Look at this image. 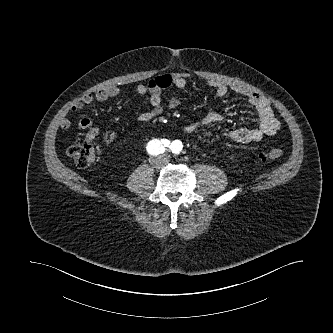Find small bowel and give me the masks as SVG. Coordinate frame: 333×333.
Segmentation results:
<instances>
[{"instance_id": "obj_1", "label": "small bowel", "mask_w": 333, "mask_h": 333, "mask_svg": "<svg viewBox=\"0 0 333 333\" xmlns=\"http://www.w3.org/2000/svg\"><path fill=\"white\" fill-rule=\"evenodd\" d=\"M186 85L187 80L182 73L161 74L151 79L147 85L139 84L136 87V92L139 95H147L149 97V107L146 111L140 113L138 120L141 122H148L162 113V93L164 90L171 87L183 89ZM208 85L215 90L218 97H224L229 90V87L226 84L213 80L208 81ZM233 90L240 96L246 98L249 104L254 108L258 115V127H241L234 129L229 133V139L236 143L245 144L260 141L264 136H273L279 131L281 127L280 121L276 118L265 97L240 86L234 87ZM120 94V88L115 86L100 89L94 95L86 94L70 107V112H80L94 100L104 102L108 99L117 98ZM178 104V99L174 97L170 98L168 101L169 108H175ZM222 120L223 116L219 111L211 110L200 119L187 124L184 131L190 133L199 127L219 123ZM59 125L62 129H68L71 126V121L67 117H62L59 121ZM78 126L81 129L88 130L86 136H92L97 132L92 119L89 117L81 118L78 122Z\"/></svg>"}]
</instances>
